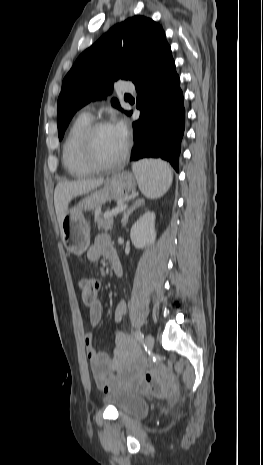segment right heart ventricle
Returning a JSON list of instances; mask_svg holds the SVG:
<instances>
[{"label": "right heart ventricle", "mask_w": 263, "mask_h": 465, "mask_svg": "<svg viewBox=\"0 0 263 465\" xmlns=\"http://www.w3.org/2000/svg\"><path fill=\"white\" fill-rule=\"evenodd\" d=\"M92 123V118L80 114L69 127L62 145V163L73 177H85L94 172L87 166L80 155L79 142L83 131Z\"/></svg>", "instance_id": "e07e8e85"}]
</instances>
